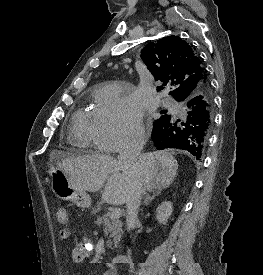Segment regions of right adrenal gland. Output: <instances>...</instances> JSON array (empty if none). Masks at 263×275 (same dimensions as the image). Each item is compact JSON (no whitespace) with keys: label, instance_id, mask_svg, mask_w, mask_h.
I'll list each match as a JSON object with an SVG mask.
<instances>
[{"label":"right adrenal gland","instance_id":"2a0ac1e0","mask_svg":"<svg viewBox=\"0 0 263 275\" xmlns=\"http://www.w3.org/2000/svg\"><path fill=\"white\" fill-rule=\"evenodd\" d=\"M145 199H144V204L145 205H149L151 201H153L155 199L156 196H158L159 192L153 193V195H150V192H145L144 193Z\"/></svg>","mask_w":263,"mask_h":275}]
</instances>
